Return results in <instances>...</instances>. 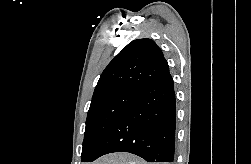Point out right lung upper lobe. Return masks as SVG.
Wrapping results in <instances>:
<instances>
[{"label":"right lung upper lobe","mask_w":251,"mask_h":164,"mask_svg":"<svg viewBox=\"0 0 251 164\" xmlns=\"http://www.w3.org/2000/svg\"><path fill=\"white\" fill-rule=\"evenodd\" d=\"M169 73L161 49L148 38L129 43L105 68L95 87L93 98L122 88L144 86Z\"/></svg>","instance_id":"obj_1"}]
</instances>
